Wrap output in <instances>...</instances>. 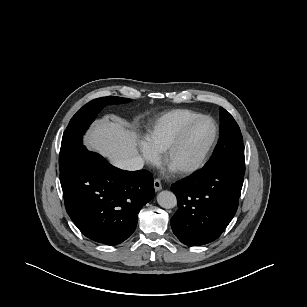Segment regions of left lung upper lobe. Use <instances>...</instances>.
<instances>
[{"label":"left lung upper lobe","instance_id":"left-lung-upper-lobe-1","mask_svg":"<svg viewBox=\"0 0 307 307\" xmlns=\"http://www.w3.org/2000/svg\"><path fill=\"white\" fill-rule=\"evenodd\" d=\"M224 167L244 176V144L239 126L225 109L220 108V138L210 160L203 168Z\"/></svg>","mask_w":307,"mask_h":307}]
</instances>
